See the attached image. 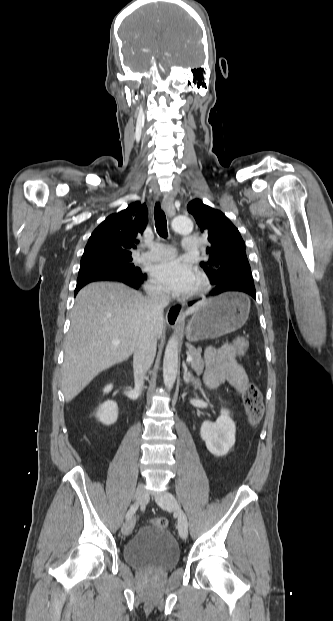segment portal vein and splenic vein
<instances>
[{"mask_svg": "<svg viewBox=\"0 0 333 621\" xmlns=\"http://www.w3.org/2000/svg\"><path fill=\"white\" fill-rule=\"evenodd\" d=\"M114 343H116V341ZM192 360H193L192 356L188 355L187 358H186V361L188 363H190V362H192Z\"/></svg>", "mask_w": 333, "mask_h": 621, "instance_id": "1", "label": "portal vein and splenic vein"}]
</instances>
